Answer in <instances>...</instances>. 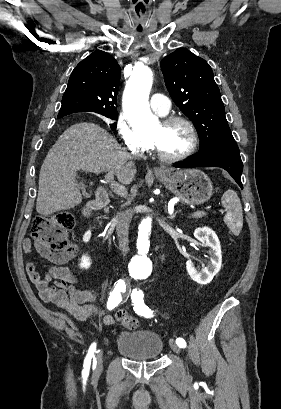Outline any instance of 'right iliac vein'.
<instances>
[{"instance_id":"1","label":"right iliac vein","mask_w":281,"mask_h":409,"mask_svg":"<svg viewBox=\"0 0 281 409\" xmlns=\"http://www.w3.org/2000/svg\"><path fill=\"white\" fill-rule=\"evenodd\" d=\"M101 369H102V354H98L96 372H100Z\"/></svg>"}]
</instances>
